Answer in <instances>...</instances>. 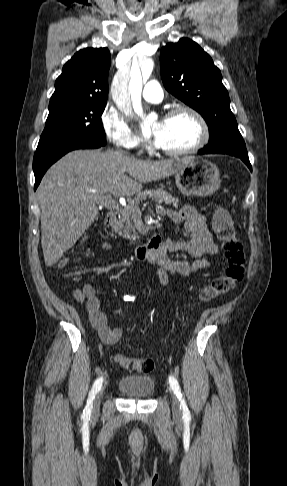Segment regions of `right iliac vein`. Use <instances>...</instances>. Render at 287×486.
<instances>
[{"label":"right iliac vein","instance_id":"right-iliac-vein-1","mask_svg":"<svg viewBox=\"0 0 287 486\" xmlns=\"http://www.w3.org/2000/svg\"><path fill=\"white\" fill-rule=\"evenodd\" d=\"M102 390L103 389H100L98 392H97V395H96V398L94 400V404H93V414H96L99 412V409H100V400H101V394H102Z\"/></svg>","mask_w":287,"mask_h":486}]
</instances>
